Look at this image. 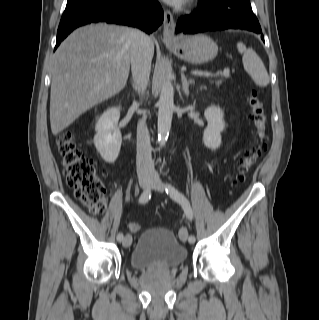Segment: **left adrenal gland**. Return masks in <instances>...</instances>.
I'll use <instances>...</instances> for the list:
<instances>
[{
  "label": "left adrenal gland",
  "mask_w": 319,
  "mask_h": 320,
  "mask_svg": "<svg viewBox=\"0 0 319 320\" xmlns=\"http://www.w3.org/2000/svg\"><path fill=\"white\" fill-rule=\"evenodd\" d=\"M182 91L185 95L189 96V85L194 84L193 79H188L185 77L184 73H181Z\"/></svg>",
  "instance_id": "left-adrenal-gland-1"
}]
</instances>
